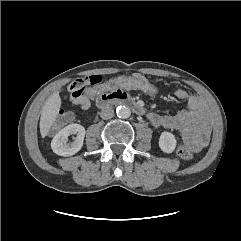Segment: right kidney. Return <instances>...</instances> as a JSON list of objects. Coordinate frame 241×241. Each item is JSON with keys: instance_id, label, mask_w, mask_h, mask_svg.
<instances>
[{"instance_id": "1", "label": "right kidney", "mask_w": 241, "mask_h": 241, "mask_svg": "<svg viewBox=\"0 0 241 241\" xmlns=\"http://www.w3.org/2000/svg\"><path fill=\"white\" fill-rule=\"evenodd\" d=\"M76 134L74 142L67 143L68 136ZM85 128L80 124H70L61 129L52 139L51 148L54 153L60 156H72L83 146Z\"/></svg>"}]
</instances>
